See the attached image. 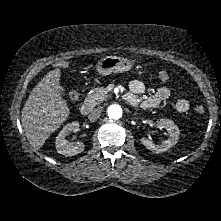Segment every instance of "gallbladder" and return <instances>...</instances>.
Masks as SVG:
<instances>
[{
    "label": "gallbladder",
    "mask_w": 221,
    "mask_h": 221,
    "mask_svg": "<svg viewBox=\"0 0 221 221\" xmlns=\"http://www.w3.org/2000/svg\"><path fill=\"white\" fill-rule=\"evenodd\" d=\"M60 93L63 94V93H64V89H62V90L60 91Z\"/></svg>",
    "instance_id": "bac80fb5"
}]
</instances>
